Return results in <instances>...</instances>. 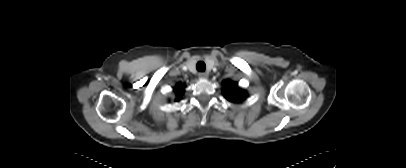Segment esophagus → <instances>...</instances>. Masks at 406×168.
I'll return each instance as SVG.
<instances>
[{
  "mask_svg": "<svg viewBox=\"0 0 406 168\" xmlns=\"http://www.w3.org/2000/svg\"><path fill=\"white\" fill-rule=\"evenodd\" d=\"M198 75H199L200 78H207L208 77V73H206V72H200Z\"/></svg>",
  "mask_w": 406,
  "mask_h": 168,
  "instance_id": "obj_1",
  "label": "esophagus"
}]
</instances>
